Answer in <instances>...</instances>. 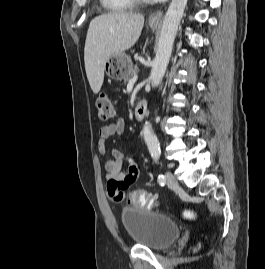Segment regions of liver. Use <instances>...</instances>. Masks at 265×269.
Wrapping results in <instances>:
<instances>
[{"instance_id": "obj_1", "label": "liver", "mask_w": 265, "mask_h": 269, "mask_svg": "<svg viewBox=\"0 0 265 269\" xmlns=\"http://www.w3.org/2000/svg\"><path fill=\"white\" fill-rule=\"evenodd\" d=\"M143 25V15L126 12L101 14L90 22L84 61L93 93L102 87L106 61L111 55L130 49L139 39Z\"/></svg>"}]
</instances>
